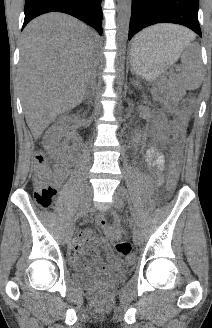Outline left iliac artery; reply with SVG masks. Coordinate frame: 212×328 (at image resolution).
<instances>
[{
	"mask_svg": "<svg viewBox=\"0 0 212 328\" xmlns=\"http://www.w3.org/2000/svg\"><path fill=\"white\" fill-rule=\"evenodd\" d=\"M121 190H122L123 197L125 199H128V193H127L126 189L122 188ZM128 201H129V199H128ZM130 209H131L132 215L134 217L135 223L137 224V226H139L138 217H137L136 213L134 212V209L132 207H130Z\"/></svg>",
	"mask_w": 212,
	"mask_h": 328,
	"instance_id": "1",
	"label": "left iliac artery"
}]
</instances>
